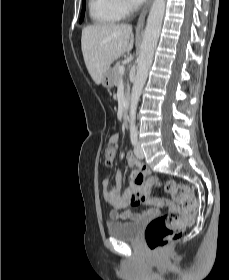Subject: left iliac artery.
Segmentation results:
<instances>
[{
	"label": "left iliac artery",
	"instance_id": "44dca946",
	"mask_svg": "<svg viewBox=\"0 0 229 280\" xmlns=\"http://www.w3.org/2000/svg\"><path fill=\"white\" fill-rule=\"evenodd\" d=\"M130 139H131L132 145H136V143H137V130L136 129H131Z\"/></svg>",
	"mask_w": 229,
	"mask_h": 280
}]
</instances>
